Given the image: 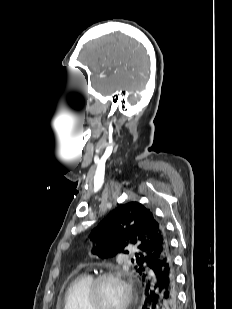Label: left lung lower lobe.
<instances>
[{
    "label": "left lung lower lobe",
    "mask_w": 232,
    "mask_h": 309,
    "mask_svg": "<svg viewBox=\"0 0 232 309\" xmlns=\"http://www.w3.org/2000/svg\"><path fill=\"white\" fill-rule=\"evenodd\" d=\"M145 301L142 309H176V272L170 246L151 261L142 278Z\"/></svg>",
    "instance_id": "0a47b994"
}]
</instances>
